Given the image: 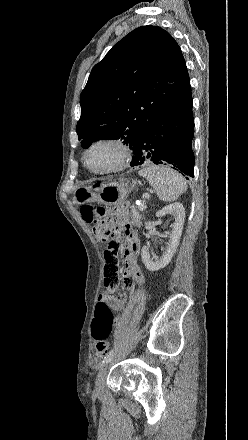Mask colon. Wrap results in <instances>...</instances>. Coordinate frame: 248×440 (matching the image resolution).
<instances>
[{"label":"colon","mask_w":248,"mask_h":440,"mask_svg":"<svg viewBox=\"0 0 248 440\" xmlns=\"http://www.w3.org/2000/svg\"><path fill=\"white\" fill-rule=\"evenodd\" d=\"M81 214L87 222L93 224L94 234L98 241L106 243L104 257H119L123 246L114 236L112 224L105 217L106 211L103 208L84 205L81 208ZM113 323L114 315L111 308L105 302L98 301L92 323V335L96 341L95 347L98 355H104L108 350V337L111 334Z\"/></svg>","instance_id":"5ec220e1"}]
</instances>
